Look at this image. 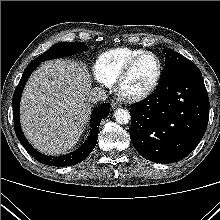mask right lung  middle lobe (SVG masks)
Wrapping results in <instances>:
<instances>
[{
    "label": "right lung middle lobe",
    "mask_w": 220,
    "mask_h": 220,
    "mask_svg": "<svg viewBox=\"0 0 220 220\" xmlns=\"http://www.w3.org/2000/svg\"><path fill=\"white\" fill-rule=\"evenodd\" d=\"M85 49L86 45L83 42L57 43L49 48L46 52L38 56L36 59H34L31 63L40 64L46 60L77 54Z\"/></svg>",
    "instance_id": "obj_1"
}]
</instances>
